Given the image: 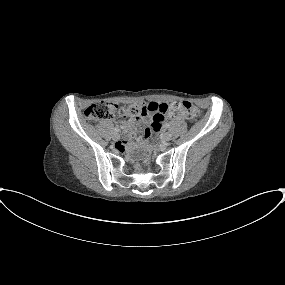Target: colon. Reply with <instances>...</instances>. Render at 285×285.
<instances>
[{
	"instance_id": "1",
	"label": "colon",
	"mask_w": 285,
	"mask_h": 285,
	"mask_svg": "<svg viewBox=\"0 0 285 285\" xmlns=\"http://www.w3.org/2000/svg\"><path fill=\"white\" fill-rule=\"evenodd\" d=\"M163 120L178 116L193 118L197 116L198 110L190 102H175L163 108ZM147 107L142 104L132 106H121L109 102H97L89 105L85 110V116L90 121L108 120L114 117L127 119L130 117L145 115Z\"/></svg>"
}]
</instances>
